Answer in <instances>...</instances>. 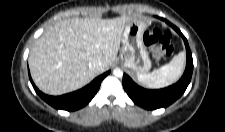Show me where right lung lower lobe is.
I'll list each match as a JSON object with an SVG mask.
<instances>
[{
  "label": "right lung lower lobe",
  "mask_w": 225,
  "mask_h": 132,
  "mask_svg": "<svg viewBox=\"0 0 225 132\" xmlns=\"http://www.w3.org/2000/svg\"><path fill=\"white\" fill-rule=\"evenodd\" d=\"M110 71L98 76L95 78L90 84L85 86L84 88L75 91L73 93L65 94L62 96H48L42 93L37 89V87L34 85L30 74L29 78L33 85V88L35 89L36 93L48 104H50L52 107L56 109H62L67 111H75L78 110L85 105H87L91 99L95 96L97 91L100 88V84L104 77H106Z\"/></svg>",
  "instance_id": "obj_1"
}]
</instances>
